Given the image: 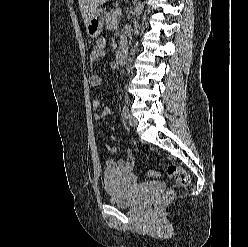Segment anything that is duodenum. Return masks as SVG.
Segmentation results:
<instances>
[{"mask_svg": "<svg viewBox=\"0 0 248 247\" xmlns=\"http://www.w3.org/2000/svg\"><path fill=\"white\" fill-rule=\"evenodd\" d=\"M127 60V52L125 50H121L118 54V63L122 66L125 64Z\"/></svg>", "mask_w": 248, "mask_h": 247, "instance_id": "1", "label": "duodenum"}]
</instances>
